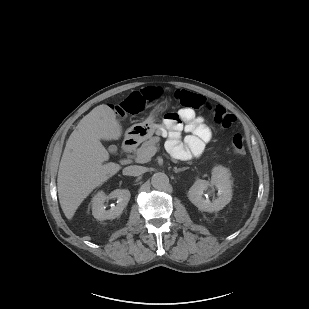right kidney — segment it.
<instances>
[{
  "label": "right kidney",
  "instance_id": "ca27d5eb",
  "mask_svg": "<svg viewBox=\"0 0 309 309\" xmlns=\"http://www.w3.org/2000/svg\"><path fill=\"white\" fill-rule=\"evenodd\" d=\"M130 197V191L126 189H116L108 196L102 191L98 192L92 199V214L94 218L100 221L117 218L127 206ZM109 199H117V205L109 210H105L104 203Z\"/></svg>",
  "mask_w": 309,
  "mask_h": 309
}]
</instances>
